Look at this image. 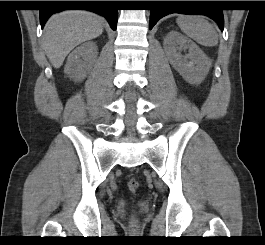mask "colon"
Returning <instances> with one entry per match:
<instances>
[{"label":"colon","mask_w":265,"mask_h":245,"mask_svg":"<svg viewBox=\"0 0 265 245\" xmlns=\"http://www.w3.org/2000/svg\"><path fill=\"white\" fill-rule=\"evenodd\" d=\"M138 187H139V183L136 179L133 178L128 182V188L130 189V191L135 192L138 189ZM136 223H137L136 219H133V222H132L133 228L136 227Z\"/></svg>","instance_id":"obj_1"}]
</instances>
